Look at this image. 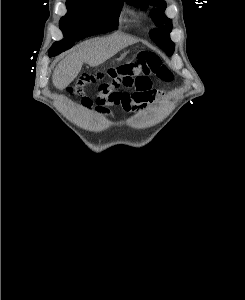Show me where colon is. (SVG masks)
Listing matches in <instances>:
<instances>
[{"label":"colon","mask_w":245,"mask_h":300,"mask_svg":"<svg viewBox=\"0 0 245 300\" xmlns=\"http://www.w3.org/2000/svg\"><path fill=\"white\" fill-rule=\"evenodd\" d=\"M147 74H153L162 82H171L173 80L172 72L158 54L151 51H142L131 61L115 68L82 74L77 85L72 88V92L82 94L85 89L97 83H102L107 78H117L125 87H131L138 78ZM155 94L157 95L156 91Z\"/></svg>","instance_id":"1"}]
</instances>
